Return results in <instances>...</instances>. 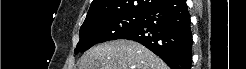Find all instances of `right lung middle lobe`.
<instances>
[{
    "label": "right lung middle lobe",
    "instance_id": "dd1d6c3e",
    "mask_svg": "<svg viewBox=\"0 0 246 69\" xmlns=\"http://www.w3.org/2000/svg\"><path fill=\"white\" fill-rule=\"evenodd\" d=\"M141 19L142 14H121L84 22L74 53L84 52L97 43L119 39L125 32L139 25Z\"/></svg>",
    "mask_w": 246,
    "mask_h": 69
}]
</instances>
